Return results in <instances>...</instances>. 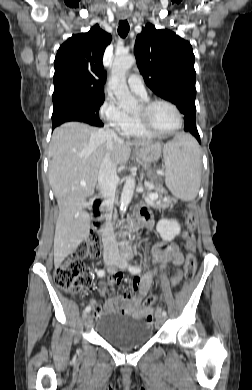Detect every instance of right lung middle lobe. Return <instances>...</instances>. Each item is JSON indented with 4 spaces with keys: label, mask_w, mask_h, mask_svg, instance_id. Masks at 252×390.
I'll return each instance as SVG.
<instances>
[{
    "label": "right lung middle lobe",
    "mask_w": 252,
    "mask_h": 390,
    "mask_svg": "<svg viewBox=\"0 0 252 390\" xmlns=\"http://www.w3.org/2000/svg\"><path fill=\"white\" fill-rule=\"evenodd\" d=\"M104 99L105 97L75 96L53 101L52 123L73 119L103 126L98 113Z\"/></svg>",
    "instance_id": "right-lung-middle-lobe-1"
}]
</instances>
